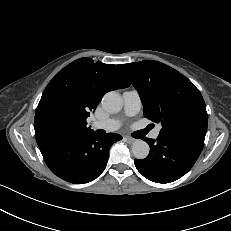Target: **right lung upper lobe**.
<instances>
[{
    "label": "right lung upper lobe",
    "instance_id": "cb5924a9",
    "mask_svg": "<svg viewBox=\"0 0 231 231\" xmlns=\"http://www.w3.org/2000/svg\"><path fill=\"white\" fill-rule=\"evenodd\" d=\"M130 84L112 64L80 58L59 71L45 88L37 106L34 129L38 146L93 130L86 119L105 93Z\"/></svg>",
    "mask_w": 231,
    "mask_h": 231
}]
</instances>
